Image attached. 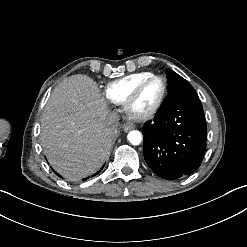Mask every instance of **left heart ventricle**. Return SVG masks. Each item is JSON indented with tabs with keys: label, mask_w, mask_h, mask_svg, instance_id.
<instances>
[{
	"label": "left heart ventricle",
	"mask_w": 247,
	"mask_h": 247,
	"mask_svg": "<svg viewBox=\"0 0 247 247\" xmlns=\"http://www.w3.org/2000/svg\"><path fill=\"white\" fill-rule=\"evenodd\" d=\"M163 93V84L160 80H150L141 88L132 111L143 113L152 109L160 100Z\"/></svg>",
	"instance_id": "1"
}]
</instances>
